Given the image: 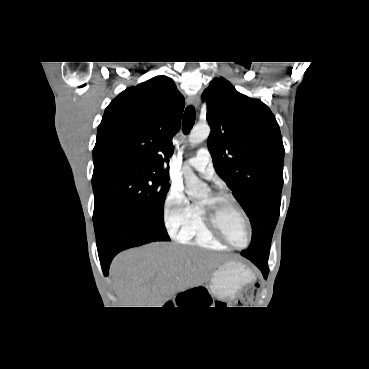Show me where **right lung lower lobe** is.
Instances as JSON below:
<instances>
[{"mask_svg":"<svg viewBox=\"0 0 369 369\" xmlns=\"http://www.w3.org/2000/svg\"><path fill=\"white\" fill-rule=\"evenodd\" d=\"M156 241L159 240L138 220L127 216L113 218L96 233L97 249L104 274L107 275L111 260L120 251Z\"/></svg>","mask_w":369,"mask_h":369,"instance_id":"98d812e1","label":"right lung lower lobe"}]
</instances>
